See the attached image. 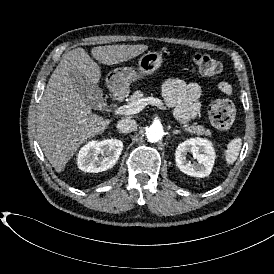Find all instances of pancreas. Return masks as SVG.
<instances>
[{
	"label": "pancreas",
	"mask_w": 274,
	"mask_h": 274,
	"mask_svg": "<svg viewBox=\"0 0 274 274\" xmlns=\"http://www.w3.org/2000/svg\"><path fill=\"white\" fill-rule=\"evenodd\" d=\"M142 91H136L130 98V102L134 103L137 99H141L143 97ZM182 129H185L186 132H190L196 135H205L206 137L212 136V133L208 128H204L202 125H196L195 123H190V121H182L180 123Z\"/></svg>",
	"instance_id": "pancreas-1"
}]
</instances>
